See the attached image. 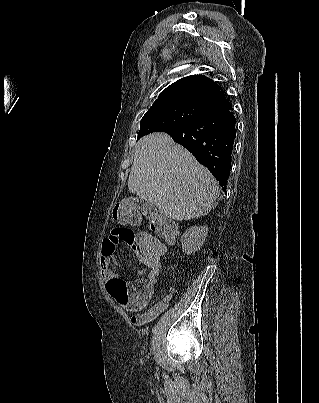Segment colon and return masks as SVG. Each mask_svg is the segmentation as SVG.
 Wrapping results in <instances>:
<instances>
[{
  "label": "colon",
  "instance_id": "1",
  "mask_svg": "<svg viewBox=\"0 0 319 403\" xmlns=\"http://www.w3.org/2000/svg\"><path fill=\"white\" fill-rule=\"evenodd\" d=\"M148 208L147 201L139 204L130 197H121L113 209V216L115 221L125 224H138L146 221L150 229H139L134 237L135 243H137L141 258H160V254L166 252L165 240L175 237L177 228L168 218L157 212L149 211Z\"/></svg>",
  "mask_w": 319,
  "mask_h": 403
}]
</instances>
